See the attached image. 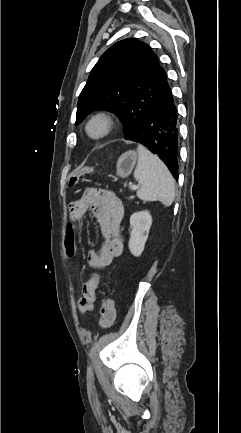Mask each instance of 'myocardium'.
<instances>
[{
	"instance_id": "f54148a6",
	"label": "myocardium",
	"mask_w": 241,
	"mask_h": 433,
	"mask_svg": "<svg viewBox=\"0 0 241 433\" xmlns=\"http://www.w3.org/2000/svg\"><path fill=\"white\" fill-rule=\"evenodd\" d=\"M116 118L107 111H98L92 114L84 125L86 136L92 141L107 138L115 129Z\"/></svg>"
}]
</instances>
